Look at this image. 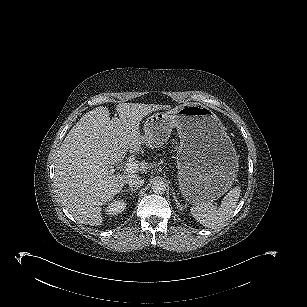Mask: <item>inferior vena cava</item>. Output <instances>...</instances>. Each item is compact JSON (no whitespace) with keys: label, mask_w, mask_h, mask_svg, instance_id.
Returning a JSON list of instances; mask_svg holds the SVG:
<instances>
[{"label":"inferior vena cava","mask_w":307,"mask_h":307,"mask_svg":"<svg viewBox=\"0 0 307 307\" xmlns=\"http://www.w3.org/2000/svg\"><path fill=\"white\" fill-rule=\"evenodd\" d=\"M129 187L140 188L144 184V180L139 176H132L127 181Z\"/></svg>","instance_id":"602c4592"}]
</instances>
